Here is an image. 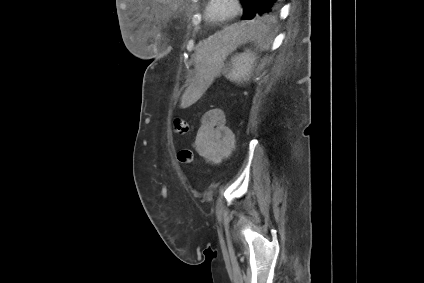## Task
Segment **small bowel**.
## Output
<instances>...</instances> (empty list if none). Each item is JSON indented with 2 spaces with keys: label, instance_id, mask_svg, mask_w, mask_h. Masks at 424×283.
<instances>
[{
  "label": "small bowel",
  "instance_id": "c3829d8e",
  "mask_svg": "<svg viewBox=\"0 0 424 283\" xmlns=\"http://www.w3.org/2000/svg\"><path fill=\"white\" fill-rule=\"evenodd\" d=\"M192 146L210 164H219L230 156L235 146L234 134L226 125L222 109L214 108L204 113Z\"/></svg>",
  "mask_w": 424,
  "mask_h": 283
}]
</instances>
